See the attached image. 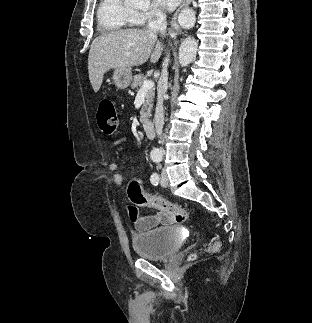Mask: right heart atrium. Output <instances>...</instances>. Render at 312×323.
<instances>
[{
	"instance_id": "d8ad5b80",
	"label": "right heart atrium",
	"mask_w": 312,
	"mask_h": 323,
	"mask_svg": "<svg viewBox=\"0 0 312 323\" xmlns=\"http://www.w3.org/2000/svg\"><path fill=\"white\" fill-rule=\"evenodd\" d=\"M142 17H167V10H142Z\"/></svg>"
}]
</instances>
